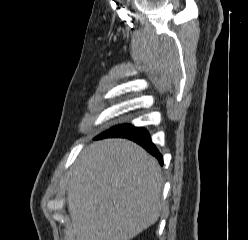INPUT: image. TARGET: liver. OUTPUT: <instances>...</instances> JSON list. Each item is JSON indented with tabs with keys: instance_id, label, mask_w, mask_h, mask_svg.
<instances>
[{
	"instance_id": "obj_1",
	"label": "liver",
	"mask_w": 248,
	"mask_h": 240,
	"mask_svg": "<svg viewBox=\"0 0 248 240\" xmlns=\"http://www.w3.org/2000/svg\"><path fill=\"white\" fill-rule=\"evenodd\" d=\"M162 173L157 160L126 139L86 147L67 188L76 240H131L160 216Z\"/></svg>"
}]
</instances>
